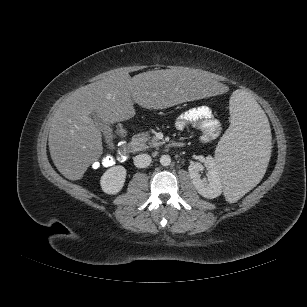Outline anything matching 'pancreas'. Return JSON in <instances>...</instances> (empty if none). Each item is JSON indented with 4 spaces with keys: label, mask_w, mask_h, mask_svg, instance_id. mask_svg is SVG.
<instances>
[{
    "label": "pancreas",
    "mask_w": 307,
    "mask_h": 307,
    "mask_svg": "<svg viewBox=\"0 0 307 307\" xmlns=\"http://www.w3.org/2000/svg\"><path fill=\"white\" fill-rule=\"evenodd\" d=\"M131 144L136 151H143L148 148L158 147L162 142H159L155 136L142 132L133 136Z\"/></svg>",
    "instance_id": "pancreas-1"
}]
</instances>
